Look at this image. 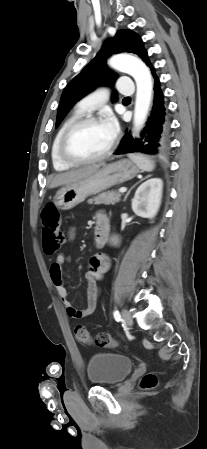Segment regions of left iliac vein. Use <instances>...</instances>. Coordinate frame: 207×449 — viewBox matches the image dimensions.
I'll use <instances>...</instances> for the list:
<instances>
[{"mask_svg": "<svg viewBox=\"0 0 207 449\" xmlns=\"http://www.w3.org/2000/svg\"><path fill=\"white\" fill-rule=\"evenodd\" d=\"M122 317L127 325L131 326L133 324L131 314L129 313L128 310H126V309L122 310Z\"/></svg>", "mask_w": 207, "mask_h": 449, "instance_id": "1", "label": "left iliac vein"}]
</instances>
